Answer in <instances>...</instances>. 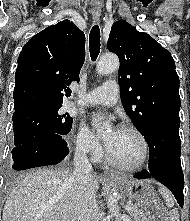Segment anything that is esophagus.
<instances>
[{
  "label": "esophagus",
  "instance_id": "obj_1",
  "mask_svg": "<svg viewBox=\"0 0 190 221\" xmlns=\"http://www.w3.org/2000/svg\"><path fill=\"white\" fill-rule=\"evenodd\" d=\"M92 16H93L94 21H98L101 16V10L100 9H93ZM106 174L110 175V176H117V173H115L113 171H107Z\"/></svg>",
  "mask_w": 190,
  "mask_h": 221
}]
</instances>
